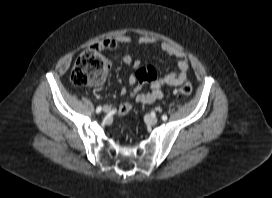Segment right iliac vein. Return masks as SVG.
Returning a JSON list of instances; mask_svg holds the SVG:
<instances>
[{
    "mask_svg": "<svg viewBox=\"0 0 272 198\" xmlns=\"http://www.w3.org/2000/svg\"><path fill=\"white\" fill-rule=\"evenodd\" d=\"M110 111H111V107H110V106L105 105V106L103 107V112H104V113H109Z\"/></svg>",
    "mask_w": 272,
    "mask_h": 198,
    "instance_id": "obj_1",
    "label": "right iliac vein"
}]
</instances>
